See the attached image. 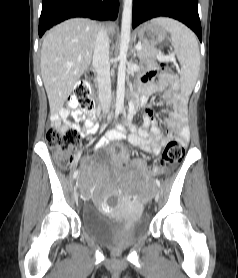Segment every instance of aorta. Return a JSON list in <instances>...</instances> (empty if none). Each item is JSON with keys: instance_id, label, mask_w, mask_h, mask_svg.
Listing matches in <instances>:
<instances>
[{"instance_id": "1", "label": "aorta", "mask_w": 238, "mask_h": 278, "mask_svg": "<svg viewBox=\"0 0 238 278\" xmlns=\"http://www.w3.org/2000/svg\"><path fill=\"white\" fill-rule=\"evenodd\" d=\"M132 5L133 0H124L122 23H121V42L119 52V67L117 76V92H116V113L123 111L124 94H125V77H126V62L127 51L131 34L132 22Z\"/></svg>"}]
</instances>
